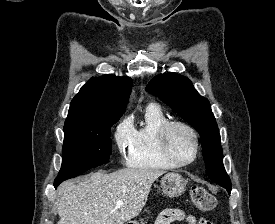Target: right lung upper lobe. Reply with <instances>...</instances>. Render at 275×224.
I'll return each instance as SVG.
<instances>
[{"label":"right lung upper lobe","mask_w":275,"mask_h":224,"mask_svg":"<svg viewBox=\"0 0 275 224\" xmlns=\"http://www.w3.org/2000/svg\"><path fill=\"white\" fill-rule=\"evenodd\" d=\"M132 88L130 77H92L73 98L65 125L119 119Z\"/></svg>","instance_id":"right-lung-upper-lobe-1"}]
</instances>
